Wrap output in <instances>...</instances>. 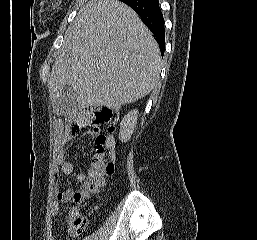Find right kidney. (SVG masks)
Segmentation results:
<instances>
[{
    "instance_id": "right-kidney-1",
    "label": "right kidney",
    "mask_w": 257,
    "mask_h": 240,
    "mask_svg": "<svg viewBox=\"0 0 257 240\" xmlns=\"http://www.w3.org/2000/svg\"><path fill=\"white\" fill-rule=\"evenodd\" d=\"M138 120V110L134 109L124 116L120 123L119 139L122 142H127L131 138V135L136 127Z\"/></svg>"
}]
</instances>
